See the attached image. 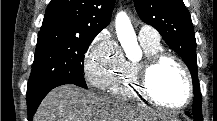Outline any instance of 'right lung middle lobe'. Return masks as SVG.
I'll list each match as a JSON object with an SVG mask.
<instances>
[{
	"mask_svg": "<svg viewBox=\"0 0 217 121\" xmlns=\"http://www.w3.org/2000/svg\"><path fill=\"white\" fill-rule=\"evenodd\" d=\"M95 36H76L55 30L40 31L27 90L54 79H67L87 88L84 54Z\"/></svg>",
	"mask_w": 217,
	"mask_h": 121,
	"instance_id": "1",
	"label": "right lung middle lobe"
}]
</instances>
